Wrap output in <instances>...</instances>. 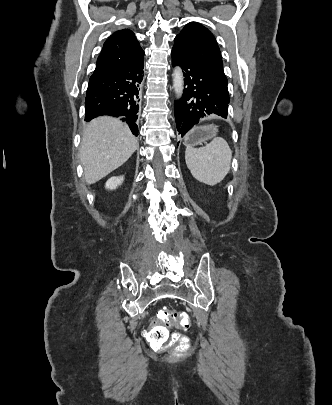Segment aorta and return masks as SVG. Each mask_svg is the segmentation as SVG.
<instances>
[{"mask_svg": "<svg viewBox=\"0 0 332 405\" xmlns=\"http://www.w3.org/2000/svg\"><path fill=\"white\" fill-rule=\"evenodd\" d=\"M172 78L175 96L177 99H180L184 90V76L180 67H175Z\"/></svg>", "mask_w": 332, "mask_h": 405, "instance_id": "aorta-1", "label": "aorta"}]
</instances>
